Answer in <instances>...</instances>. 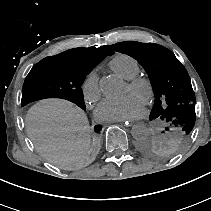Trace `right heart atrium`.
<instances>
[{"label":"right heart atrium","instance_id":"d8ad5b80","mask_svg":"<svg viewBox=\"0 0 211 211\" xmlns=\"http://www.w3.org/2000/svg\"><path fill=\"white\" fill-rule=\"evenodd\" d=\"M81 91L85 102L89 105H93L100 100L102 96V88L96 71L88 73L82 82Z\"/></svg>","mask_w":211,"mask_h":211}]
</instances>
